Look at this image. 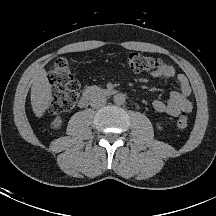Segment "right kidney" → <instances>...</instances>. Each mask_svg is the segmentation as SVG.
Segmentation results:
<instances>
[{
  "label": "right kidney",
  "mask_w": 216,
  "mask_h": 216,
  "mask_svg": "<svg viewBox=\"0 0 216 216\" xmlns=\"http://www.w3.org/2000/svg\"><path fill=\"white\" fill-rule=\"evenodd\" d=\"M62 125V120L60 117H56L55 120L53 121V126L56 129H59Z\"/></svg>",
  "instance_id": "1"
}]
</instances>
